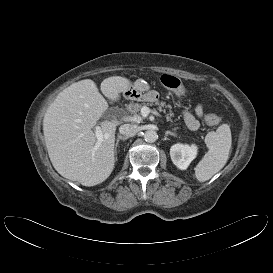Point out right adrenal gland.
Returning <instances> with one entry per match:
<instances>
[{
	"label": "right adrenal gland",
	"mask_w": 273,
	"mask_h": 273,
	"mask_svg": "<svg viewBox=\"0 0 273 273\" xmlns=\"http://www.w3.org/2000/svg\"><path fill=\"white\" fill-rule=\"evenodd\" d=\"M127 139H128V137H126V136L118 135V138H117L116 144H115V153H116V155H117V147L119 145L120 140L125 141Z\"/></svg>",
	"instance_id": "right-adrenal-gland-1"
}]
</instances>
